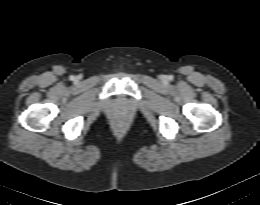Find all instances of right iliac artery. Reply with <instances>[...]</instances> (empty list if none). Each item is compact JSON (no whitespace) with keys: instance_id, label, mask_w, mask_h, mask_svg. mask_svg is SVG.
Listing matches in <instances>:
<instances>
[{"instance_id":"1","label":"right iliac artery","mask_w":260,"mask_h":205,"mask_svg":"<svg viewBox=\"0 0 260 205\" xmlns=\"http://www.w3.org/2000/svg\"><path fill=\"white\" fill-rule=\"evenodd\" d=\"M70 80H75V77L74 76H70Z\"/></svg>"}]
</instances>
